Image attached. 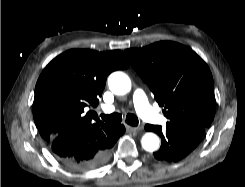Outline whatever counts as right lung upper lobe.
<instances>
[{
	"label": "right lung upper lobe",
	"instance_id": "obj_1",
	"mask_svg": "<svg viewBox=\"0 0 245 187\" xmlns=\"http://www.w3.org/2000/svg\"><path fill=\"white\" fill-rule=\"evenodd\" d=\"M128 67L120 50L72 49L54 58L35 87L33 117L42 138L49 143L64 133L105 125L96 115L83 114L84 108L98 105L112 71Z\"/></svg>",
	"mask_w": 245,
	"mask_h": 187
}]
</instances>
